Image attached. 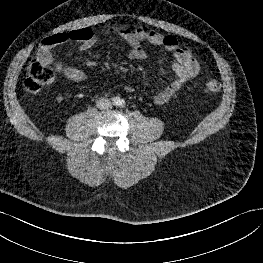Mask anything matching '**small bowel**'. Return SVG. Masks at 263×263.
Instances as JSON below:
<instances>
[{"instance_id": "c3829d8e", "label": "small bowel", "mask_w": 263, "mask_h": 263, "mask_svg": "<svg viewBox=\"0 0 263 263\" xmlns=\"http://www.w3.org/2000/svg\"><path fill=\"white\" fill-rule=\"evenodd\" d=\"M116 35L121 37L130 46L129 57L133 60H141L145 57L142 43H150L162 46L174 56L172 68L174 77L162 91L158 92L153 100L157 105L167 103L174 94L187 82L197 76L200 71V64L193 56L192 51L182 46L173 35H163L149 27L137 26L129 23H118L102 28L94 32L89 28L72 30L69 32L56 33L43 39L38 49V59L47 65H52L55 70L73 82H83L86 79L85 73L77 68L67 67L52 55V50L69 42L80 44V49L86 51L94 46L101 37ZM127 92L133 88L125 85Z\"/></svg>"}]
</instances>
